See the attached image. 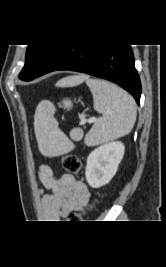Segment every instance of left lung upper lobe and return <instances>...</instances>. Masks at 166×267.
Masks as SVG:
<instances>
[{
    "label": "left lung upper lobe",
    "instance_id": "5c2ea615",
    "mask_svg": "<svg viewBox=\"0 0 166 267\" xmlns=\"http://www.w3.org/2000/svg\"><path fill=\"white\" fill-rule=\"evenodd\" d=\"M60 45H28L26 51L25 66L19 74V78L30 81L37 77L45 63Z\"/></svg>",
    "mask_w": 166,
    "mask_h": 267
}]
</instances>
